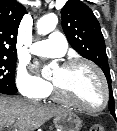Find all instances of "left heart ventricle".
Returning <instances> with one entry per match:
<instances>
[{
	"instance_id": "left-heart-ventricle-1",
	"label": "left heart ventricle",
	"mask_w": 117,
	"mask_h": 131,
	"mask_svg": "<svg viewBox=\"0 0 117 131\" xmlns=\"http://www.w3.org/2000/svg\"><path fill=\"white\" fill-rule=\"evenodd\" d=\"M52 81L56 82L72 99L90 107H98L103 100V89L96 73L85 65L71 69L59 67Z\"/></svg>"
}]
</instances>
